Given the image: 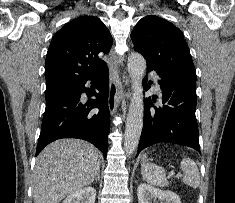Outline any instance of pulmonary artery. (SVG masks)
<instances>
[{"label":"pulmonary artery","instance_id":"obj_1","mask_svg":"<svg viewBox=\"0 0 235 203\" xmlns=\"http://www.w3.org/2000/svg\"><path fill=\"white\" fill-rule=\"evenodd\" d=\"M155 87L157 91H160V85L158 84V78L156 76H153Z\"/></svg>","mask_w":235,"mask_h":203}]
</instances>
